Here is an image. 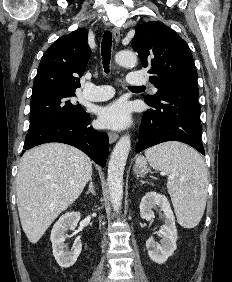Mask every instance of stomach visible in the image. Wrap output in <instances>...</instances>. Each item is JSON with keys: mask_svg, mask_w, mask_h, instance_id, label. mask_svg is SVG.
<instances>
[{"mask_svg": "<svg viewBox=\"0 0 232 282\" xmlns=\"http://www.w3.org/2000/svg\"><path fill=\"white\" fill-rule=\"evenodd\" d=\"M134 171L138 176H143L148 173L149 169L146 165H143L140 167H135Z\"/></svg>", "mask_w": 232, "mask_h": 282, "instance_id": "stomach-1", "label": "stomach"}]
</instances>
